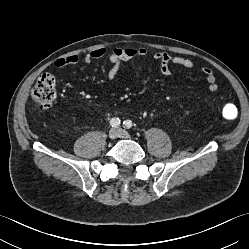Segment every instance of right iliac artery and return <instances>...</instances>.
Instances as JSON below:
<instances>
[{"label": "right iliac artery", "instance_id": "1", "mask_svg": "<svg viewBox=\"0 0 249 249\" xmlns=\"http://www.w3.org/2000/svg\"><path fill=\"white\" fill-rule=\"evenodd\" d=\"M110 125L112 127H118L120 125V119L119 118H112L110 120Z\"/></svg>", "mask_w": 249, "mask_h": 249}]
</instances>
